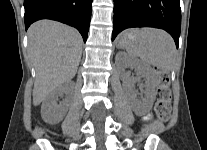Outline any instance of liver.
<instances>
[{
    "label": "liver",
    "mask_w": 207,
    "mask_h": 150,
    "mask_svg": "<svg viewBox=\"0 0 207 150\" xmlns=\"http://www.w3.org/2000/svg\"><path fill=\"white\" fill-rule=\"evenodd\" d=\"M29 54L36 72L33 104L39 105L76 74L82 55V38L74 28L40 20L28 29Z\"/></svg>",
    "instance_id": "obj_1"
}]
</instances>
